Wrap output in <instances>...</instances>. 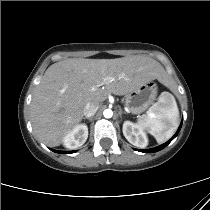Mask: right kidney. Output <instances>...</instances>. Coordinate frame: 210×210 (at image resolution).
<instances>
[{
	"label": "right kidney",
	"instance_id": "ca27d5eb",
	"mask_svg": "<svg viewBox=\"0 0 210 210\" xmlns=\"http://www.w3.org/2000/svg\"><path fill=\"white\" fill-rule=\"evenodd\" d=\"M88 138V127L86 124L75 126L64 137V146L68 149H76L82 146Z\"/></svg>",
	"mask_w": 210,
	"mask_h": 210
}]
</instances>
